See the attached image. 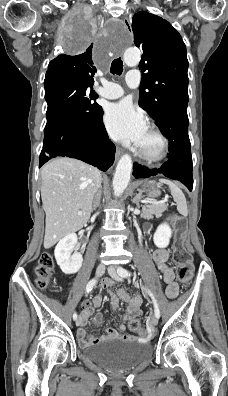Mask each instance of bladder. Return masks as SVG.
Wrapping results in <instances>:
<instances>
[{
    "label": "bladder",
    "instance_id": "31cf9c89",
    "mask_svg": "<svg viewBox=\"0 0 228 396\" xmlns=\"http://www.w3.org/2000/svg\"><path fill=\"white\" fill-rule=\"evenodd\" d=\"M82 355L108 370H129L148 361L150 344L121 338L107 339L82 349Z\"/></svg>",
    "mask_w": 228,
    "mask_h": 396
}]
</instances>
